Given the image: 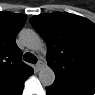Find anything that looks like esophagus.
<instances>
[{"label": "esophagus", "instance_id": "esophagus-1", "mask_svg": "<svg viewBox=\"0 0 95 95\" xmlns=\"http://www.w3.org/2000/svg\"><path fill=\"white\" fill-rule=\"evenodd\" d=\"M43 66H44V63L42 61H38V63L35 66V69L37 71H40L43 68Z\"/></svg>", "mask_w": 95, "mask_h": 95}]
</instances>
